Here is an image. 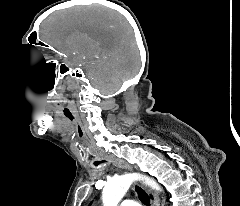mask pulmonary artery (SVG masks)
Masks as SVG:
<instances>
[{
	"instance_id": "obj_1",
	"label": "pulmonary artery",
	"mask_w": 240,
	"mask_h": 206,
	"mask_svg": "<svg viewBox=\"0 0 240 206\" xmlns=\"http://www.w3.org/2000/svg\"><path fill=\"white\" fill-rule=\"evenodd\" d=\"M120 206H141L138 202L130 199L123 200Z\"/></svg>"
}]
</instances>
